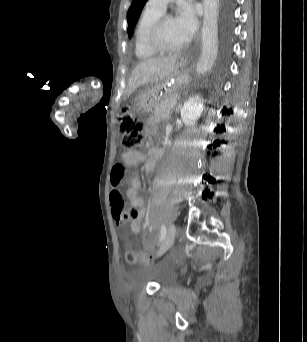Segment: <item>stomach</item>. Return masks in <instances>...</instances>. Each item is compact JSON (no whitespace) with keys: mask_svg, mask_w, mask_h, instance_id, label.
<instances>
[{"mask_svg":"<svg viewBox=\"0 0 307 342\" xmlns=\"http://www.w3.org/2000/svg\"><path fill=\"white\" fill-rule=\"evenodd\" d=\"M190 65V59L178 57L172 71L164 80L137 91L132 100V108L137 112H148L168 96L179 97L190 82Z\"/></svg>","mask_w":307,"mask_h":342,"instance_id":"0dacf381","label":"stomach"}]
</instances>
